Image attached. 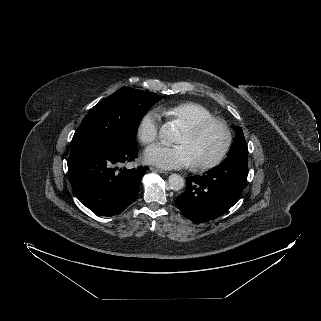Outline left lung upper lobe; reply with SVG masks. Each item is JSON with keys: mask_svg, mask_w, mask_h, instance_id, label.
Returning a JSON list of instances; mask_svg holds the SVG:
<instances>
[{"mask_svg": "<svg viewBox=\"0 0 321 321\" xmlns=\"http://www.w3.org/2000/svg\"><path fill=\"white\" fill-rule=\"evenodd\" d=\"M236 157L248 158V147L241 129H238L236 131L234 143L232 144L228 156L225 160Z\"/></svg>", "mask_w": 321, "mask_h": 321, "instance_id": "obj_1", "label": "left lung upper lobe"}]
</instances>
